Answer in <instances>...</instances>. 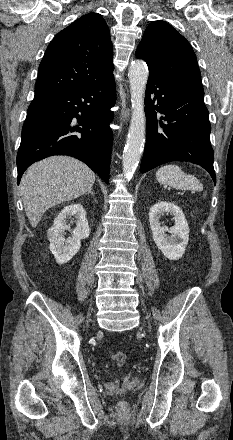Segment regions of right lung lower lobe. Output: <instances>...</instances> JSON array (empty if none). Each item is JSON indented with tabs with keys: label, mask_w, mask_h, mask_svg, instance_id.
Segmentation results:
<instances>
[{
	"label": "right lung lower lobe",
	"mask_w": 233,
	"mask_h": 440,
	"mask_svg": "<svg viewBox=\"0 0 233 440\" xmlns=\"http://www.w3.org/2000/svg\"><path fill=\"white\" fill-rule=\"evenodd\" d=\"M115 101L113 74L85 87L36 95L22 128L17 183L31 164L51 155L75 157L108 183Z\"/></svg>",
	"instance_id": "right-lung-lower-lobe-1"
}]
</instances>
